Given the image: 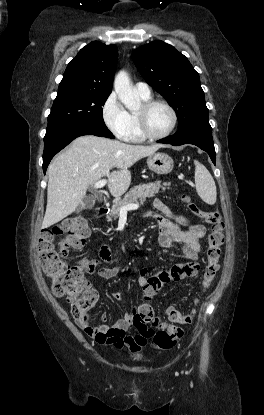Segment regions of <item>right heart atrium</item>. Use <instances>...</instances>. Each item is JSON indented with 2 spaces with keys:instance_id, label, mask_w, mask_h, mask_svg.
<instances>
[{
  "instance_id": "1",
  "label": "right heart atrium",
  "mask_w": 264,
  "mask_h": 415,
  "mask_svg": "<svg viewBox=\"0 0 264 415\" xmlns=\"http://www.w3.org/2000/svg\"><path fill=\"white\" fill-rule=\"evenodd\" d=\"M102 117L106 126L119 138L128 130L129 116L115 92L108 95L102 105Z\"/></svg>"
}]
</instances>
